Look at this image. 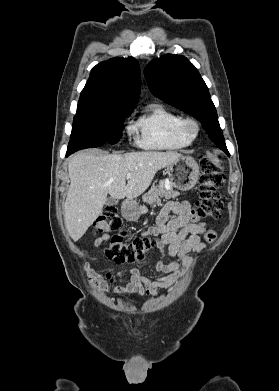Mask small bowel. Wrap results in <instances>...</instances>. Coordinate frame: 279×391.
I'll return each mask as SVG.
<instances>
[{"instance_id": "small-bowel-1", "label": "small bowel", "mask_w": 279, "mask_h": 391, "mask_svg": "<svg viewBox=\"0 0 279 391\" xmlns=\"http://www.w3.org/2000/svg\"><path fill=\"white\" fill-rule=\"evenodd\" d=\"M171 213L176 217L169 220ZM208 231L210 230H207L203 223L194 220L188 201L167 202L157 216V225L149 228L142 237L155 236L162 256L174 257L175 260L159 261L156 264L155 270L164 273V277L150 278L138 269L120 272L119 276L128 278V283L119 291L125 295L139 294L142 297H154L158 289H167L175 285L192 263L190 254L205 249L201 236ZM108 239V235H103L96 239L94 245L98 247Z\"/></svg>"}]
</instances>
